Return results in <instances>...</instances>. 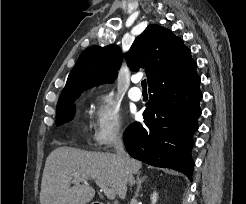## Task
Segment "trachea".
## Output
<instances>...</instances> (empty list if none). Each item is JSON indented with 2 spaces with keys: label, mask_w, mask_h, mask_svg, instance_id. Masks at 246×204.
I'll use <instances>...</instances> for the list:
<instances>
[{
  "label": "trachea",
  "mask_w": 246,
  "mask_h": 204,
  "mask_svg": "<svg viewBox=\"0 0 246 204\" xmlns=\"http://www.w3.org/2000/svg\"><path fill=\"white\" fill-rule=\"evenodd\" d=\"M141 84H142V88L143 89H146L147 83H146V80L145 79L141 81Z\"/></svg>",
  "instance_id": "3493384b"
}]
</instances>
